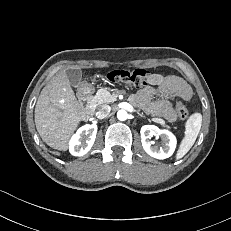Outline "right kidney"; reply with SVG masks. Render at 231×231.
I'll return each instance as SVG.
<instances>
[{"instance_id":"ca27d5eb","label":"right kidney","mask_w":231,"mask_h":231,"mask_svg":"<svg viewBox=\"0 0 231 231\" xmlns=\"http://www.w3.org/2000/svg\"><path fill=\"white\" fill-rule=\"evenodd\" d=\"M97 133V125H84L78 129L70 140L69 151L73 156H83L87 154L94 144ZM82 135L87 137L84 139Z\"/></svg>"}]
</instances>
